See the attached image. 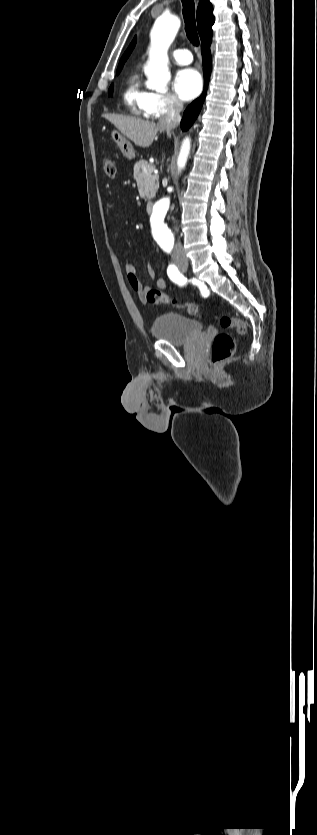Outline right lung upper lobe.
Listing matches in <instances>:
<instances>
[{
	"mask_svg": "<svg viewBox=\"0 0 317 835\" xmlns=\"http://www.w3.org/2000/svg\"><path fill=\"white\" fill-rule=\"evenodd\" d=\"M213 6L209 2V0H201L198 5L197 9V26L199 35L201 37V41L208 38L212 34V25L214 24L215 18L212 14ZM136 44V37L131 42L128 49L125 51L124 55L120 59L119 65L124 64L126 59L129 57L130 53L132 52L134 46Z\"/></svg>",
	"mask_w": 317,
	"mask_h": 835,
	"instance_id": "right-lung-upper-lobe-1",
	"label": "right lung upper lobe"
}]
</instances>
